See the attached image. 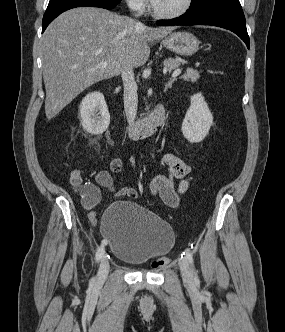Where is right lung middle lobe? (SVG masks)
I'll return each mask as SVG.
<instances>
[{"mask_svg":"<svg viewBox=\"0 0 285 332\" xmlns=\"http://www.w3.org/2000/svg\"><path fill=\"white\" fill-rule=\"evenodd\" d=\"M106 2H110V3H119L121 0H104Z\"/></svg>","mask_w":285,"mask_h":332,"instance_id":"right-lung-middle-lobe-1","label":"right lung middle lobe"}]
</instances>
